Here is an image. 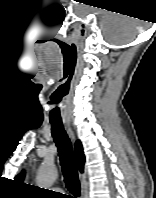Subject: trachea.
Wrapping results in <instances>:
<instances>
[{"instance_id": "3493384b", "label": "trachea", "mask_w": 156, "mask_h": 198, "mask_svg": "<svg viewBox=\"0 0 156 198\" xmlns=\"http://www.w3.org/2000/svg\"><path fill=\"white\" fill-rule=\"evenodd\" d=\"M52 136L58 148L62 171L67 189L75 196L67 198H76L80 195V182L78 172L74 161L71 142L64 131L61 121H50Z\"/></svg>"}]
</instances>
